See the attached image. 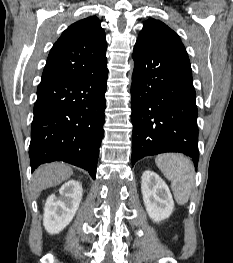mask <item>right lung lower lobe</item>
Here are the masks:
<instances>
[{
	"label": "right lung lower lobe",
	"mask_w": 233,
	"mask_h": 263,
	"mask_svg": "<svg viewBox=\"0 0 233 263\" xmlns=\"http://www.w3.org/2000/svg\"><path fill=\"white\" fill-rule=\"evenodd\" d=\"M106 64L83 77L38 85L29 146L32 171L43 163L64 161L95 179L104 133Z\"/></svg>",
	"instance_id": "right-lung-lower-lobe-1"
}]
</instances>
